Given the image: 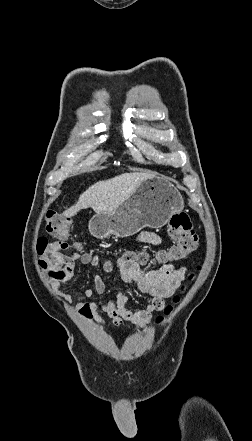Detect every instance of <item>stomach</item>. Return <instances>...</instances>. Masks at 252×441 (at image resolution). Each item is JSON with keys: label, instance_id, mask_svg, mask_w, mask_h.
Listing matches in <instances>:
<instances>
[{"label": "stomach", "instance_id": "stomach-1", "mask_svg": "<svg viewBox=\"0 0 252 441\" xmlns=\"http://www.w3.org/2000/svg\"><path fill=\"white\" fill-rule=\"evenodd\" d=\"M184 208L182 195L163 177L143 181L113 212L96 213L89 222L90 233L99 239L114 235L126 238L144 227L161 228Z\"/></svg>", "mask_w": 252, "mask_h": 441}]
</instances>
